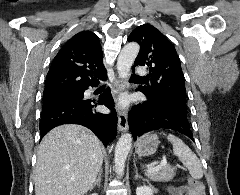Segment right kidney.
<instances>
[{"mask_svg": "<svg viewBox=\"0 0 240 195\" xmlns=\"http://www.w3.org/2000/svg\"><path fill=\"white\" fill-rule=\"evenodd\" d=\"M91 195H98V193H91Z\"/></svg>", "mask_w": 240, "mask_h": 195, "instance_id": "1", "label": "right kidney"}]
</instances>
